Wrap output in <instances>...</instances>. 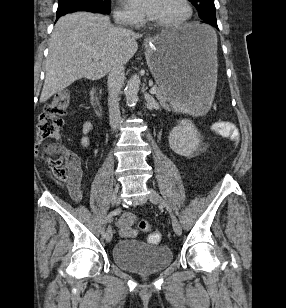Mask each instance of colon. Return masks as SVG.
I'll list each match as a JSON object with an SVG mask.
<instances>
[{
	"instance_id": "5ec220e1",
	"label": "colon",
	"mask_w": 286,
	"mask_h": 308,
	"mask_svg": "<svg viewBox=\"0 0 286 308\" xmlns=\"http://www.w3.org/2000/svg\"><path fill=\"white\" fill-rule=\"evenodd\" d=\"M70 102V94L62 91L53 96L46 104L43 112L39 116L37 124V149L47 158L48 164L54 176L61 181L71 179L73 172L68 168L65 161V154L58 144L59 131L63 126L65 116ZM215 129L222 135H229L231 131L230 123H217ZM142 228H147L145 222L141 223ZM161 234L153 232L148 236L150 244H159Z\"/></svg>"
}]
</instances>
